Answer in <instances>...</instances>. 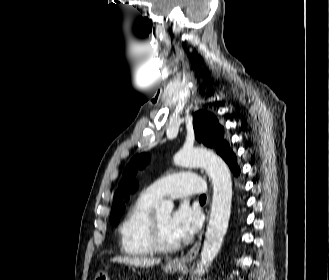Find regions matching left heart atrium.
<instances>
[{
    "instance_id": "39dd6f15",
    "label": "left heart atrium",
    "mask_w": 329,
    "mask_h": 280,
    "mask_svg": "<svg viewBox=\"0 0 329 280\" xmlns=\"http://www.w3.org/2000/svg\"><path fill=\"white\" fill-rule=\"evenodd\" d=\"M201 215L187 203H182L170 215L169 229L177 242L190 239L200 228Z\"/></svg>"
}]
</instances>
